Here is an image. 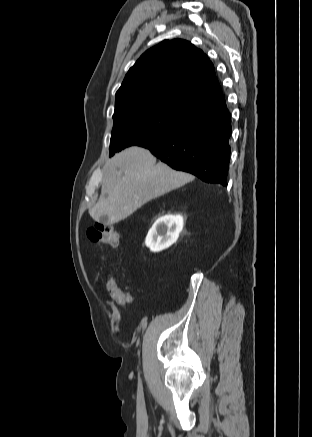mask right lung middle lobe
Masks as SVG:
<instances>
[{"label": "right lung middle lobe", "mask_w": 312, "mask_h": 437, "mask_svg": "<svg viewBox=\"0 0 312 437\" xmlns=\"http://www.w3.org/2000/svg\"><path fill=\"white\" fill-rule=\"evenodd\" d=\"M193 114V111L160 102L133 104L115 110L110 154L168 136L181 128Z\"/></svg>", "instance_id": "1"}]
</instances>
